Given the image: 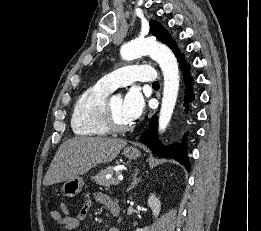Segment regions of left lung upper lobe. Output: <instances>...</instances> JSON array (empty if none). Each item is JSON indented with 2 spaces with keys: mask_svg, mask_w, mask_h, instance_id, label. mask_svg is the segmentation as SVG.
<instances>
[{
  "mask_svg": "<svg viewBox=\"0 0 261 231\" xmlns=\"http://www.w3.org/2000/svg\"><path fill=\"white\" fill-rule=\"evenodd\" d=\"M150 30L151 33L158 38L162 43L168 45L174 52L177 60L183 57L184 55L180 53L176 43L173 41L168 31L156 20L150 21Z\"/></svg>",
  "mask_w": 261,
  "mask_h": 231,
  "instance_id": "1",
  "label": "left lung upper lobe"
}]
</instances>
